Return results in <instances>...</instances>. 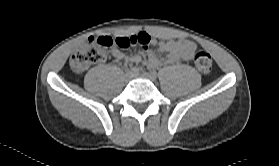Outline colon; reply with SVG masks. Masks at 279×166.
<instances>
[{
  "instance_id": "5ec220e1",
  "label": "colon",
  "mask_w": 279,
  "mask_h": 166,
  "mask_svg": "<svg viewBox=\"0 0 279 166\" xmlns=\"http://www.w3.org/2000/svg\"><path fill=\"white\" fill-rule=\"evenodd\" d=\"M147 41L145 36H139L138 38L98 37L89 39L71 56L70 67L75 73H83L91 65L104 61L111 47L126 48L134 44L143 45ZM193 61L197 69L203 73H208L212 69L213 60L206 51L196 50L193 53Z\"/></svg>"
}]
</instances>
